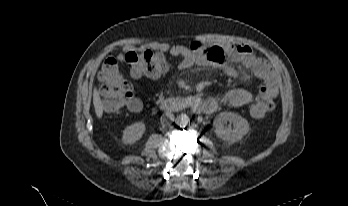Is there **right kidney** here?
Instances as JSON below:
<instances>
[{
  "label": "right kidney",
  "instance_id": "right-kidney-1",
  "mask_svg": "<svg viewBox=\"0 0 348 206\" xmlns=\"http://www.w3.org/2000/svg\"><path fill=\"white\" fill-rule=\"evenodd\" d=\"M146 130L143 122H137L127 126L123 131L122 141L125 144H133L140 140Z\"/></svg>",
  "mask_w": 348,
  "mask_h": 206
}]
</instances>
